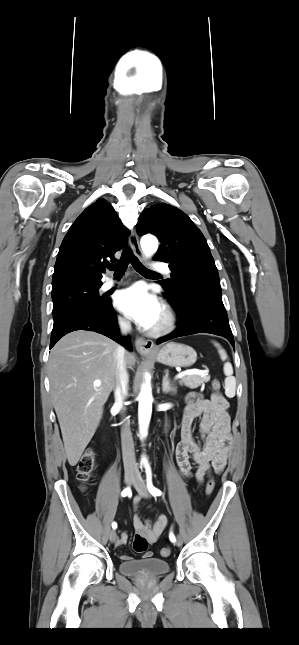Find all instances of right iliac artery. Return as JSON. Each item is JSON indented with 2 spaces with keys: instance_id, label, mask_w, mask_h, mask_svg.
Segmentation results:
<instances>
[{
  "instance_id": "obj_1",
  "label": "right iliac artery",
  "mask_w": 299,
  "mask_h": 645,
  "mask_svg": "<svg viewBox=\"0 0 299 645\" xmlns=\"http://www.w3.org/2000/svg\"><path fill=\"white\" fill-rule=\"evenodd\" d=\"M121 495H122L123 497H126L127 495H128V496H131V489H130V488H125V489L122 491ZM112 528H113V529H116V528H117V524H116L115 522H113V523H112Z\"/></svg>"
}]
</instances>
